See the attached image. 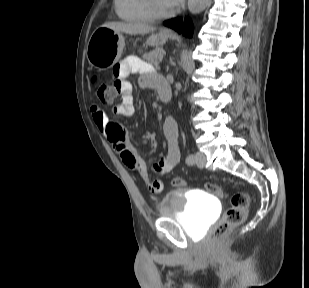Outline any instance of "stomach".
Instances as JSON below:
<instances>
[{"instance_id":"obj_1","label":"stomach","mask_w":309,"mask_h":288,"mask_svg":"<svg viewBox=\"0 0 309 288\" xmlns=\"http://www.w3.org/2000/svg\"><path fill=\"white\" fill-rule=\"evenodd\" d=\"M167 39L168 36L156 33L147 38L146 44L158 47L163 45ZM124 46L125 38L122 33L101 26L89 38L87 59L92 66L98 69H108L119 61Z\"/></svg>"}]
</instances>
